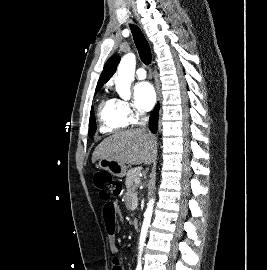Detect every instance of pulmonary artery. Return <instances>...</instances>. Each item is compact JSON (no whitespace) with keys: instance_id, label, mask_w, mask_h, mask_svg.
<instances>
[{"instance_id":"obj_1","label":"pulmonary artery","mask_w":267,"mask_h":270,"mask_svg":"<svg viewBox=\"0 0 267 270\" xmlns=\"http://www.w3.org/2000/svg\"><path fill=\"white\" fill-rule=\"evenodd\" d=\"M146 71H145V69L144 68H138L137 70H136V77H137V79H139V80H143V79H145L146 78Z\"/></svg>"}]
</instances>
